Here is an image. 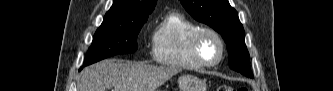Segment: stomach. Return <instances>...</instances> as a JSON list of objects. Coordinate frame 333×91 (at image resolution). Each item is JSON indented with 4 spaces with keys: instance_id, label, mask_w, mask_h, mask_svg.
Returning a JSON list of instances; mask_svg holds the SVG:
<instances>
[{
    "instance_id": "1",
    "label": "stomach",
    "mask_w": 333,
    "mask_h": 91,
    "mask_svg": "<svg viewBox=\"0 0 333 91\" xmlns=\"http://www.w3.org/2000/svg\"><path fill=\"white\" fill-rule=\"evenodd\" d=\"M180 91H206V82L192 75H183L178 79Z\"/></svg>"
}]
</instances>
